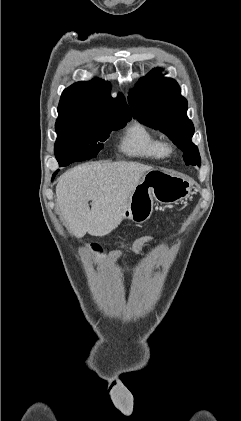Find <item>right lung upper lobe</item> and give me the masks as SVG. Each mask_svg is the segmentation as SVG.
<instances>
[{
  "label": "right lung upper lobe",
  "mask_w": 241,
  "mask_h": 421,
  "mask_svg": "<svg viewBox=\"0 0 241 421\" xmlns=\"http://www.w3.org/2000/svg\"><path fill=\"white\" fill-rule=\"evenodd\" d=\"M59 120L93 122L100 118H131L125 98L110 96V84L101 79L77 82L62 93Z\"/></svg>",
  "instance_id": "cb5924a9"
}]
</instances>
